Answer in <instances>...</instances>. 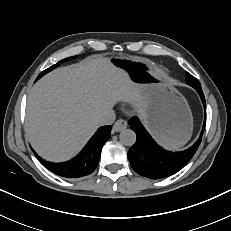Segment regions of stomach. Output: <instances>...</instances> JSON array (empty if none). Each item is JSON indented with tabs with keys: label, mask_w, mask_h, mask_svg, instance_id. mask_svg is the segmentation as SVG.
Here are the masks:
<instances>
[{
	"label": "stomach",
	"mask_w": 231,
	"mask_h": 231,
	"mask_svg": "<svg viewBox=\"0 0 231 231\" xmlns=\"http://www.w3.org/2000/svg\"><path fill=\"white\" fill-rule=\"evenodd\" d=\"M123 69L145 101L144 123L167 148H179L191 137L193 118L186 99L149 60L120 55L107 59Z\"/></svg>",
	"instance_id": "1"
}]
</instances>
